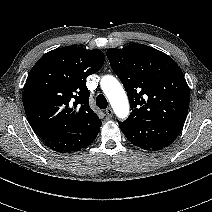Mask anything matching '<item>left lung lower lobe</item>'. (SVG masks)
Returning a JSON list of instances; mask_svg holds the SVG:
<instances>
[{"instance_id": "1", "label": "left lung lower lobe", "mask_w": 212, "mask_h": 212, "mask_svg": "<svg viewBox=\"0 0 212 212\" xmlns=\"http://www.w3.org/2000/svg\"><path fill=\"white\" fill-rule=\"evenodd\" d=\"M119 126L126 138L135 146L157 151L168 147L177 138L183 123L155 119Z\"/></svg>"}]
</instances>
